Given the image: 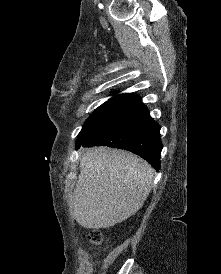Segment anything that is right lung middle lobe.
Returning a JSON list of instances; mask_svg holds the SVG:
<instances>
[{
    "mask_svg": "<svg viewBox=\"0 0 221 274\" xmlns=\"http://www.w3.org/2000/svg\"><path fill=\"white\" fill-rule=\"evenodd\" d=\"M129 100L111 99L98 107L83 125L76 145L79 146L96 136L113 122L130 104Z\"/></svg>",
    "mask_w": 221,
    "mask_h": 274,
    "instance_id": "1",
    "label": "right lung middle lobe"
}]
</instances>
